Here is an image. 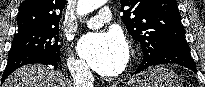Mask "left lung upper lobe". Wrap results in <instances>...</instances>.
I'll return each mask as SVG.
<instances>
[{
    "mask_svg": "<svg viewBox=\"0 0 205 87\" xmlns=\"http://www.w3.org/2000/svg\"><path fill=\"white\" fill-rule=\"evenodd\" d=\"M122 20L129 34L140 42L144 58L156 59L165 44L185 35L176 0H120ZM128 7L124 10V7Z\"/></svg>",
    "mask_w": 205,
    "mask_h": 87,
    "instance_id": "5c2ea615",
    "label": "left lung upper lobe"
}]
</instances>
